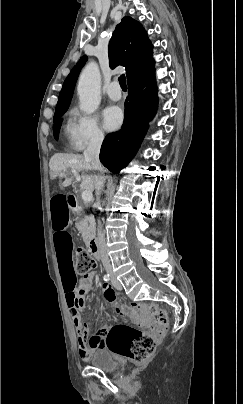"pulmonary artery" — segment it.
Instances as JSON below:
<instances>
[{"mask_svg": "<svg viewBox=\"0 0 243 404\" xmlns=\"http://www.w3.org/2000/svg\"><path fill=\"white\" fill-rule=\"evenodd\" d=\"M107 95L110 99L118 101L122 97V91L118 81H113L107 88Z\"/></svg>", "mask_w": 243, "mask_h": 404, "instance_id": "1", "label": "pulmonary artery"}]
</instances>
